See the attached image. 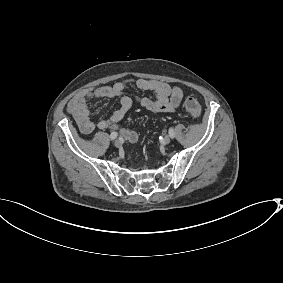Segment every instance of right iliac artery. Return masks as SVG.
<instances>
[{
  "instance_id": "right-iliac-artery-1",
  "label": "right iliac artery",
  "mask_w": 283,
  "mask_h": 283,
  "mask_svg": "<svg viewBox=\"0 0 283 283\" xmlns=\"http://www.w3.org/2000/svg\"><path fill=\"white\" fill-rule=\"evenodd\" d=\"M117 136H118L117 132H112L110 134V139L113 141V140H115L117 138Z\"/></svg>"
}]
</instances>
